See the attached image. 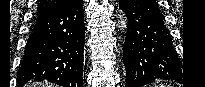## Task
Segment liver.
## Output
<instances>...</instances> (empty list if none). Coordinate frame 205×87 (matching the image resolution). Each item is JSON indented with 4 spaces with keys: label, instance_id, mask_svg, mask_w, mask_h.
I'll use <instances>...</instances> for the list:
<instances>
[{
    "label": "liver",
    "instance_id": "6515ba94",
    "mask_svg": "<svg viewBox=\"0 0 205 87\" xmlns=\"http://www.w3.org/2000/svg\"><path fill=\"white\" fill-rule=\"evenodd\" d=\"M36 87H51V86H48V84H46V86L42 85V84H35Z\"/></svg>",
    "mask_w": 205,
    "mask_h": 87
}]
</instances>
